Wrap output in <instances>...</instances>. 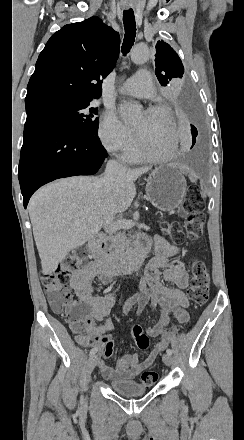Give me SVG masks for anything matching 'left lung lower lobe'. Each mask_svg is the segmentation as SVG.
<instances>
[{"mask_svg": "<svg viewBox=\"0 0 244 440\" xmlns=\"http://www.w3.org/2000/svg\"><path fill=\"white\" fill-rule=\"evenodd\" d=\"M180 105H181L184 113L188 117V119L194 123V124H191V133H192V137H193V143L191 146V148H192L194 146V144L196 143V141H198V138H197L198 130L195 126V124H197V122H198V113H197L196 104H195V101H194V98L192 97V95L186 94L182 97V99L180 101Z\"/></svg>", "mask_w": 244, "mask_h": 440, "instance_id": "1", "label": "left lung lower lobe"}]
</instances>
